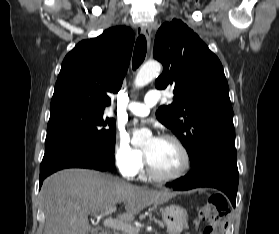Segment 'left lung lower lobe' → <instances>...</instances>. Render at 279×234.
Segmentation results:
<instances>
[{
  "label": "left lung lower lobe",
  "instance_id": "0a47b994",
  "mask_svg": "<svg viewBox=\"0 0 279 234\" xmlns=\"http://www.w3.org/2000/svg\"><path fill=\"white\" fill-rule=\"evenodd\" d=\"M236 159L235 146H217L207 151L189 174L166 186L174 190L214 187L223 191L235 207L239 179Z\"/></svg>",
  "mask_w": 279,
  "mask_h": 234
}]
</instances>
